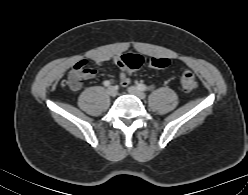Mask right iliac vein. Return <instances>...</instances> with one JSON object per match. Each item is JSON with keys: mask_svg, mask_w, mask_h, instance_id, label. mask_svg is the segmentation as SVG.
Returning <instances> with one entry per match:
<instances>
[{"mask_svg": "<svg viewBox=\"0 0 248 195\" xmlns=\"http://www.w3.org/2000/svg\"><path fill=\"white\" fill-rule=\"evenodd\" d=\"M107 93L112 96L115 97L117 95V89L113 86H110L107 88Z\"/></svg>", "mask_w": 248, "mask_h": 195, "instance_id": "obj_1", "label": "right iliac vein"}]
</instances>
